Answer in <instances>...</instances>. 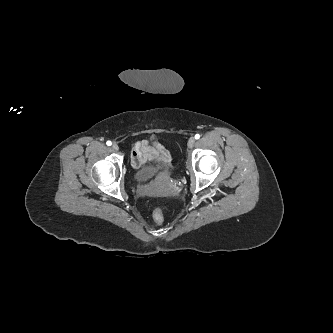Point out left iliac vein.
<instances>
[{"mask_svg":"<svg viewBox=\"0 0 333 333\" xmlns=\"http://www.w3.org/2000/svg\"><path fill=\"white\" fill-rule=\"evenodd\" d=\"M195 144V138L191 137L189 140H188V147L189 148H192Z\"/></svg>","mask_w":333,"mask_h":333,"instance_id":"left-iliac-vein-1","label":"left iliac vein"}]
</instances>
